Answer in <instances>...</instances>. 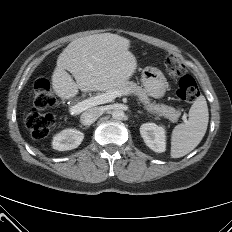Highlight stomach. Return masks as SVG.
I'll return each mask as SVG.
<instances>
[{
  "label": "stomach",
  "instance_id": "0dacf381",
  "mask_svg": "<svg viewBox=\"0 0 232 232\" xmlns=\"http://www.w3.org/2000/svg\"><path fill=\"white\" fill-rule=\"evenodd\" d=\"M142 84L148 95L154 98L164 96L168 83L161 71L154 68H146L142 72Z\"/></svg>",
  "mask_w": 232,
  "mask_h": 232
}]
</instances>
